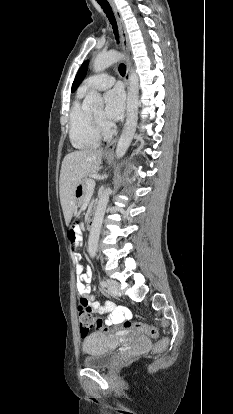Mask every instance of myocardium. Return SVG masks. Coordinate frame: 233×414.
I'll return each mask as SVG.
<instances>
[{
    "label": "myocardium",
    "instance_id": "f54148a6",
    "mask_svg": "<svg viewBox=\"0 0 233 414\" xmlns=\"http://www.w3.org/2000/svg\"><path fill=\"white\" fill-rule=\"evenodd\" d=\"M91 116V121H92V125L94 127V129L96 130V132H98L100 135L101 134H109L112 130V127L109 124H105L102 123L101 121H99L93 113L90 114Z\"/></svg>",
    "mask_w": 233,
    "mask_h": 414
}]
</instances>
